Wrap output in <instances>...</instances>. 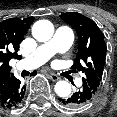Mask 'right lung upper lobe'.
<instances>
[{
    "mask_svg": "<svg viewBox=\"0 0 117 117\" xmlns=\"http://www.w3.org/2000/svg\"><path fill=\"white\" fill-rule=\"evenodd\" d=\"M33 20V17L23 20L10 18L0 23V92L14 77L9 61L11 58H21L17 54L19 44Z\"/></svg>",
    "mask_w": 117,
    "mask_h": 117,
    "instance_id": "right-lung-upper-lobe-1",
    "label": "right lung upper lobe"
}]
</instances>
